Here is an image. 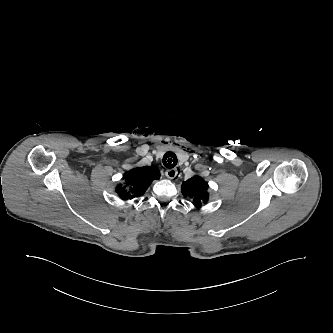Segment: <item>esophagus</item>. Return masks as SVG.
Here are the masks:
<instances>
[{
    "mask_svg": "<svg viewBox=\"0 0 333 333\" xmlns=\"http://www.w3.org/2000/svg\"><path fill=\"white\" fill-rule=\"evenodd\" d=\"M165 175L168 179H174L178 176V169L177 168L167 169Z\"/></svg>",
    "mask_w": 333,
    "mask_h": 333,
    "instance_id": "esophagus-1",
    "label": "esophagus"
}]
</instances>
